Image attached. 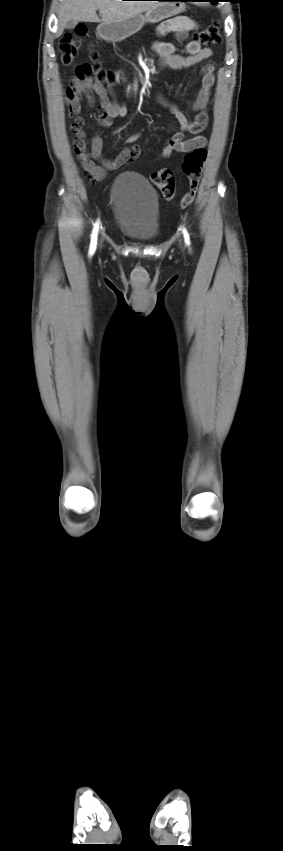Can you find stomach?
<instances>
[{
  "label": "stomach",
  "mask_w": 283,
  "mask_h": 851,
  "mask_svg": "<svg viewBox=\"0 0 283 851\" xmlns=\"http://www.w3.org/2000/svg\"><path fill=\"white\" fill-rule=\"evenodd\" d=\"M169 1L172 2H160L156 7L147 10L144 15L138 14L114 23H101L97 27V34L107 41H122L138 32L147 22L157 23L184 11V2Z\"/></svg>",
  "instance_id": "obj_1"
}]
</instances>
